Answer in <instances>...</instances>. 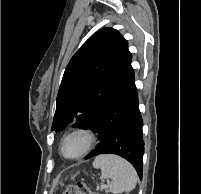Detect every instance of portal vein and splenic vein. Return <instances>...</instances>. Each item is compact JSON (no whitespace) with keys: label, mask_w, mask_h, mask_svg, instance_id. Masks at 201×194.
<instances>
[{"label":"portal vein and splenic vein","mask_w":201,"mask_h":194,"mask_svg":"<svg viewBox=\"0 0 201 194\" xmlns=\"http://www.w3.org/2000/svg\"><path fill=\"white\" fill-rule=\"evenodd\" d=\"M101 187H102V188H105L106 186H105V185H101Z\"/></svg>","instance_id":"portal-vein-and-splenic-vein-1"}]
</instances>
